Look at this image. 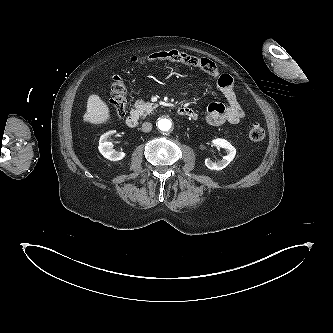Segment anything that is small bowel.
Instances as JSON below:
<instances>
[{
    "label": "small bowel",
    "instance_id": "obj_1",
    "mask_svg": "<svg viewBox=\"0 0 333 333\" xmlns=\"http://www.w3.org/2000/svg\"><path fill=\"white\" fill-rule=\"evenodd\" d=\"M217 84L227 101V105L217 102L209 104L205 116L206 122L212 126H219L226 122L231 124L239 123L245 117V113L233 89L232 78L227 74H223L218 78ZM184 108V116L191 119L197 118V113L193 109L189 107Z\"/></svg>",
    "mask_w": 333,
    "mask_h": 333
}]
</instances>
